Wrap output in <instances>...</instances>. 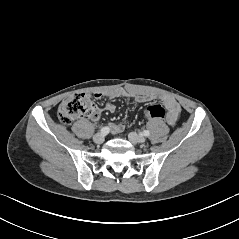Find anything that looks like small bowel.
Wrapping results in <instances>:
<instances>
[{
	"label": "small bowel",
	"instance_id": "1",
	"mask_svg": "<svg viewBox=\"0 0 239 239\" xmlns=\"http://www.w3.org/2000/svg\"><path fill=\"white\" fill-rule=\"evenodd\" d=\"M104 96H107L111 99L123 97L128 101L135 100L139 103H144L153 99H157L164 104L167 108L166 121L169 125L173 126L177 122V119L180 114V106L178 102L170 96H150V95H133L124 90H112L109 92H98L94 94L96 99H100ZM116 110V106L113 103H107L101 107H98L95 113L91 116L92 120H98L100 113L102 111H107L113 113ZM111 132L113 134L121 133L124 130V125L122 123H112L110 125Z\"/></svg>",
	"mask_w": 239,
	"mask_h": 239
}]
</instances>
